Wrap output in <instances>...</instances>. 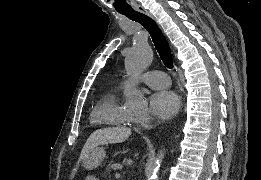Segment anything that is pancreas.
Here are the masks:
<instances>
[{"label":"pancreas","mask_w":261,"mask_h":180,"mask_svg":"<svg viewBox=\"0 0 261 180\" xmlns=\"http://www.w3.org/2000/svg\"><path fill=\"white\" fill-rule=\"evenodd\" d=\"M116 163V160L115 159H110L109 162H106V166H105V170H104V173L106 176H108L109 178H114L115 177V174L112 173V166L113 164Z\"/></svg>","instance_id":"cf45deb5"}]
</instances>
